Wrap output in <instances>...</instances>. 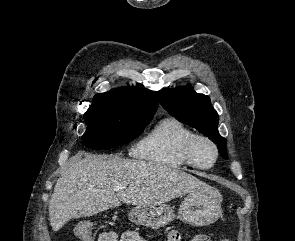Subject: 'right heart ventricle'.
I'll return each mask as SVG.
<instances>
[{"label":"right heart ventricle","mask_w":295,"mask_h":241,"mask_svg":"<svg viewBox=\"0 0 295 241\" xmlns=\"http://www.w3.org/2000/svg\"><path fill=\"white\" fill-rule=\"evenodd\" d=\"M194 132L175 118H165L136 147V155L153 164L168 167L188 165L184 146Z\"/></svg>","instance_id":"e07e8e85"}]
</instances>
